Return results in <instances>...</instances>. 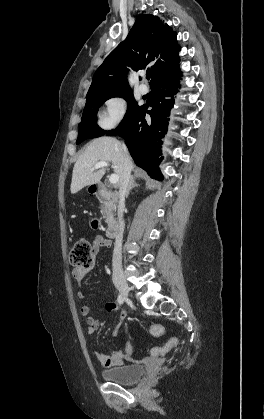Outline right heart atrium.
I'll use <instances>...</instances> for the list:
<instances>
[{"mask_svg": "<svg viewBox=\"0 0 264 419\" xmlns=\"http://www.w3.org/2000/svg\"><path fill=\"white\" fill-rule=\"evenodd\" d=\"M128 108V102L125 97L115 95L108 98L105 102V108L99 117L101 128L110 130L119 125L125 118Z\"/></svg>", "mask_w": 264, "mask_h": 419, "instance_id": "obj_1", "label": "right heart atrium"}]
</instances>
